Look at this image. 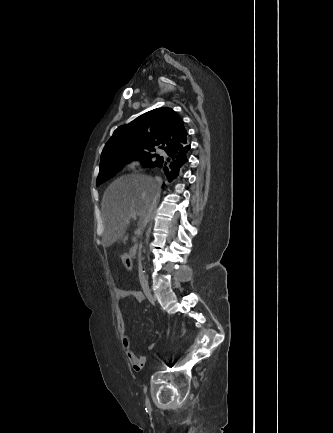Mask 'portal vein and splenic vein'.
I'll list each match as a JSON object with an SVG mask.
<instances>
[{
    "label": "portal vein and splenic vein",
    "mask_w": 333,
    "mask_h": 433,
    "mask_svg": "<svg viewBox=\"0 0 333 433\" xmlns=\"http://www.w3.org/2000/svg\"><path fill=\"white\" fill-rule=\"evenodd\" d=\"M131 219H133V220H137L136 213H130L129 216H128V218L126 219V223H129V221H130ZM135 234H136L137 236H141V235H142V231H141L140 229H137V230L135 231ZM135 246H137V244H135Z\"/></svg>",
    "instance_id": "obj_1"
}]
</instances>
